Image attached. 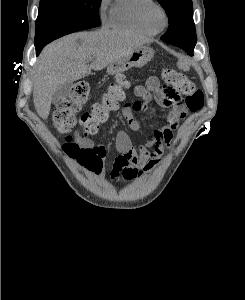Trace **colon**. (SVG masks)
<instances>
[{
    "label": "colon",
    "mask_w": 245,
    "mask_h": 300,
    "mask_svg": "<svg viewBox=\"0 0 245 300\" xmlns=\"http://www.w3.org/2000/svg\"><path fill=\"white\" fill-rule=\"evenodd\" d=\"M162 76L172 91L181 93L186 97L185 104L191 112H198L202 109L204 105L203 91L191 79L174 69H164ZM127 86L128 81L124 76H119L115 82L108 86L91 110L81 116L82 135L76 138L72 137L70 133L76 125L77 112L89 97V84L85 81L76 82L71 92L57 104L54 113V126L59 133L67 135L63 144L64 151L94 171L99 168L96 153L93 149L82 147L78 143V139H87L88 136L94 135L98 131L99 126L106 122L110 114L118 108L119 102L124 98V89ZM141 106L140 101L133 102L135 109H140Z\"/></svg>",
    "instance_id": "1"
}]
</instances>
